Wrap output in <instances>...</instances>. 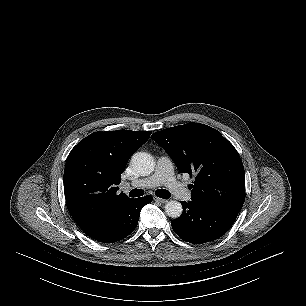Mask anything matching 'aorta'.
<instances>
[{"mask_svg": "<svg viewBox=\"0 0 306 306\" xmlns=\"http://www.w3.org/2000/svg\"><path fill=\"white\" fill-rule=\"evenodd\" d=\"M133 168L141 175L146 176L153 172L155 162L152 156L146 152H136L131 158ZM180 202L171 200L165 205V212L171 218H178L182 214Z\"/></svg>", "mask_w": 306, "mask_h": 306, "instance_id": "1", "label": "aorta"}]
</instances>
